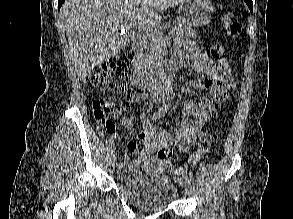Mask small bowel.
<instances>
[{
  "instance_id": "small-bowel-1",
  "label": "small bowel",
  "mask_w": 293,
  "mask_h": 219,
  "mask_svg": "<svg viewBox=\"0 0 293 219\" xmlns=\"http://www.w3.org/2000/svg\"><path fill=\"white\" fill-rule=\"evenodd\" d=\"M176 62L187 61L195 72L205 77L188 82L189 86L210 89L213 96L200 102L187 101L183 107V113L187 116L174 133L160 130L151 122H145L143 131L138 134L136 140L144 144V150L139 151L136 140L127 142V150L137 156V161L152 159L154 151L162 147H176L180 152H186L202 135L203 127L208 120L218 111L227 99V91L235 86V81L230 74H222L208 57L206 51L199 45L182 41L178 45ZM146 93H139L131 100L132 105L139 106L146 99ZM134 123V116L129 111L122 116V124L130 129ZM128 164L126 156L120 165Z\"/></svg>"
}]
</instances>
